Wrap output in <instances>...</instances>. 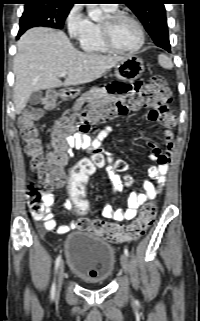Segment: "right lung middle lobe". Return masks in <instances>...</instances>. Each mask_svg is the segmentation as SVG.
I'll return each instance as SVG.
<instances>
[{"mask_svg": "<svg viewBox=\"0 0 200 321\" xmlns=\"http://www.w3.org/2000/svg\"><path fill=\"white\" fill-rule=\"evenodd\" d=\"M70 9L71 7L57 5L54 2L26 3L20 18L18 37L36 26L62 29Z\"/></svg>", "mask_w": 200, "mask_h": 321, "instance_id": "right-lung-middle-lobe-1", "label": "right lung middle lobe"}]
</instances>
